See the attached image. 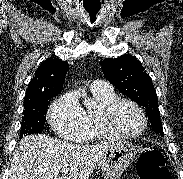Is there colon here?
Instances as JSON below:
<instances>
[{
  "label": "colon",
  "mask_w": 183,
  "mask_h": 179,
  "mask_svg": "<svg viewBox=\"0 0 183 179\" xmlns=\"http://www.w3.org/2000/svg\"><path fill=\"white\" fill-rule=\"evenodd\" d=\"M140 179H171L163 154L154 148H144L137 162Z\"/></svg>",
  "instance_id": "1"
}]
</instances>
